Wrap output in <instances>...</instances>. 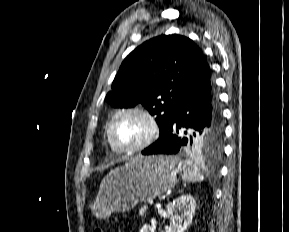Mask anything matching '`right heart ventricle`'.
Wrapping results in <instances>:
<instances>
[{"mask_svg":"<svg viewBox=\"0 0 289 232\" xmlns=\"http://www.w3.org/2000/svg\"><path fill=\"white\" fill-rule=\"evenodd\" d=\"M108 138V137H107ZM108 142H109V140H108ZM109 145H110V147H111V149L113 150V151H116L114 148H113V146L110 144V142H109Z\"/></svg>","mask_w":289,"mask_h":232,"instance_id":"1","label":"right heart ventricle"}]
</instances>
